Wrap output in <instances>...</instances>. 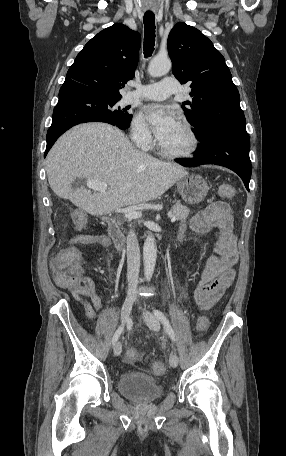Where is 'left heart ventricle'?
<instances>
[{
	"instance_id": "b2bd125f",
	"label": "left heart ventricle",
	"mask_w": 286,
	"mask_h": 456,
	"mask_svg": "<svg viewBox=\"0 0 286 456\" xmlns=\"http://www.w3.org/2000/svg\"><path fill=\"white\" fill-rule=\"evenodd\" d=\"M190 143L188 134L180 125L161 142L162 146L171 152H183L189 148Z\"/></svg>"
}]
</instances>
